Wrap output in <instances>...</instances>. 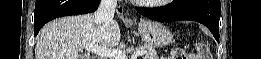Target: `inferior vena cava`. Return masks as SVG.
<instances>
[{"label":"inferior vena cava","mask_w":261,"mask_h":59,"mask_svg":"<svg viewBox=\"0 0 261 59\" xmlns=\"http://www.w3.org/2000/svg\"><path fill=\"white\" fill-rule=\"evenodd\" d=\"M117 7V0H101L95 12V23L102 24L113 20Z\"/></svg>","instance_id":"602c4592"}]
</instances>
